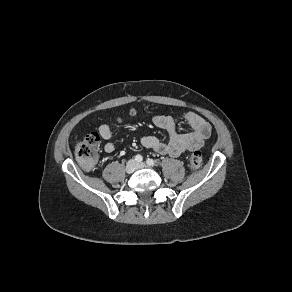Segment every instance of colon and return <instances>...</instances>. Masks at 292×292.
<instances>
[{
    "label": "colon",
    "mask_w": 292,
    "mask_h": 292,
    "mask_svg": "<svg viewBox=\"0 0 292 292\" xmlns=\"http://www.w3.org/2000/svg\"><path fill=\"white\" fill-rule=\"evenodd\" d=\"M134 113H132L133 115ZM100 145V135L90 132L76 143L75 154L79 163L86 170L95 167ZM203 155L200 151L193 152L188 159V167L192 171L200 169L203 165Z\"/></svg>",
    "instance_id": "1"
}]
</instances>
